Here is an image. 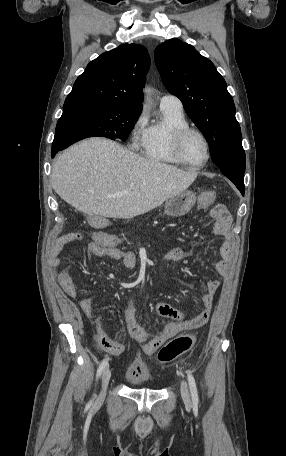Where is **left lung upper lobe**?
Segmentation results:
<instances>
[{"label": "left lung upper lobe", "instance_id": "5c2ea615", "mask_svg": "<svg viewBox=\"0 0 286 456\" xmlns=\"http://www.w3.org/2000/svg\"><path fill=\"white\" fill-rule=\"evenodd\" d=\"M154 59L167 90L206 137L214 163L222 170H245L240 125L224 78L196 49L170 39L155 49Z\"/></svg>", "mask_w": 286, "mask_h": 456}]
</instances>
